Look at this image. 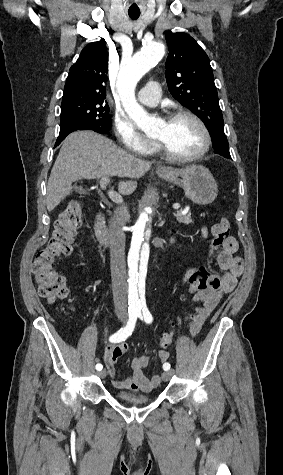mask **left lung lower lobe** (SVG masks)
<instances>
[{"label": "left lung lower lobe", "instance_id": "obj_1", "mask_svg": "<svg viewBox=\"0 0 283 475\" xmlns=\"http://www.w3.org/2000/svg\"><path fill=\"white\" fill-rule=\"evenodd\" d=\"M211 137H212V145L214 148V153L219 154L227 159H231L226 136L214 135Z\"/></svg>", "mask_w": 283, "mask_h": 475}]
</instances>
